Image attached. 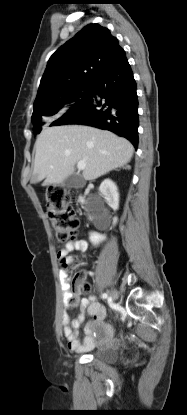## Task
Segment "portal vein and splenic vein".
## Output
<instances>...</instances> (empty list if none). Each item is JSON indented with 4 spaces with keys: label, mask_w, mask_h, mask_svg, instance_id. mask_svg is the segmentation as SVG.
<instances>
[{
    "label": "portal vein and splenic vein",
    "mask_w": 187,
    "mask_h": 415,
    "mask_svg": "<svg viewBox=\"0 0 187 415\" xmlns=\"http://www.w3.org/2000/svg\"><path fill=\"white\" fill-rule=\"evenodd\" d=\"M77 167H78L79 170H84L85 167H86L85 161H79L78 164H77Z\"/></svg>",
    "instance_id": "portal-vein-and-splenic-vein-1"
}]
</instances>
